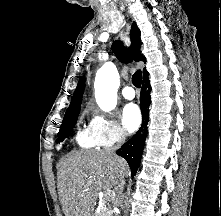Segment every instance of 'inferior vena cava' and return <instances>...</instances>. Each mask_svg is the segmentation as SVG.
I'll list each match as a JSON object with an SVG mask.
<instances>
[{"mask_svg":"<svg viewBox=\"0 0 221 216\" xmlns=\"http://www.w3.org/2000/svg\"><path fill=\"white\" fill-rule=\"evenodd\" d=\"M126 132L124 130H122L120 132V136L119 139L117 141V145L111 148H107L105 150L106 153L115 156V151L118 149V147L124 142L125 138H126ZM124 185H125V180L122 177L118 186L116 187L115 191L117 193V196L120 197L122 195L123 189H124Z\"/></svg>","mask_w":221,"mask_h":216,"instance_id":"1","label":"inferior vena cava"}]
</instances>
